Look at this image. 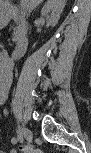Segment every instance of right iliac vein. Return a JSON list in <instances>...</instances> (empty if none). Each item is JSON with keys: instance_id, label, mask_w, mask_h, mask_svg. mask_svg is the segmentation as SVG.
<instances>
[{"instance_id": "right-iliac-vein-1", "label": "right iliac vein", "mask_w": 91, "mask_h": 153, "mask_svg": "<svg viewBox=\"0 0 91 153\" xmlns=\"http://www.w3.org/2000/svg\"><path fill=\"white\" fill-rule=\"evenodd\" d=\"M20 132L23 134V136L29 143L32 141L33 135L29 129H27L26 127H21Z\"/></svg>"}]
</instances>
